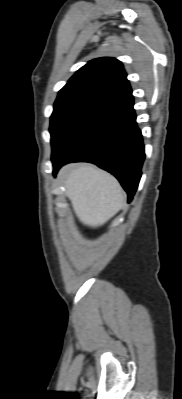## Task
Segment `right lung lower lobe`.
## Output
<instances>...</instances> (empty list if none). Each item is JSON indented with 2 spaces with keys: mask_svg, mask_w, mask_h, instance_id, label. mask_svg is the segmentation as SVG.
<instances>
[{
  "mask_svg": "<svg viewBox=\"0 0 182 399\" xmlns=\"http://www.w3.org/2000/svg\"><path fill=\"white\" fill-rule=\"evenodd\" d=\"M132 93L107 102L75 124L52 147L53 175L70 162H91L113 174L130 202L145 158Z\"/></svg>",
  "mask_w": 182,
  "mask_h": 399,
  "instance_id": "98d812e1",
  "label": "right lung lower lobe"
}]
</instances>
